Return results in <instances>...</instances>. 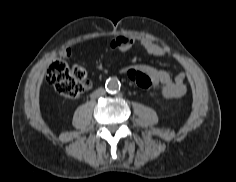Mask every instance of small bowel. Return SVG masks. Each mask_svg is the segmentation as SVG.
Returning <instances> with one entry per match:
<instances>
[{
	"mask_svg": "<svg viewBox=\"0 0 236 182\" xmlns=\"http://www.w3.org/2000/svg\"><path fill=\"white\" fill-rule=\"evenodd\" d=\"M134 43L135 41L132 37L121 35L112 40L110 47L115 51L126 52L133 47ZM141 45L148 54L153 56L164 57L170 53L168 48L147 39L142 40ZM70 55L71 49L69 47L61 52L62 58H68ZM136 68L146 72L150 76L154 87L162 85V94L164 97L173 99L182 97L186 94L187 86L185 73L181 72L176 75L175 78H172L166 70L157 69L146 64H140ZM91 87V81H85V89H90Z\"/></svg>",
	"mask_w": 236,
	"mask_h": 182,
	"instance_id": "obj_1",
	"label": "small bowel"
}]
</instances>
